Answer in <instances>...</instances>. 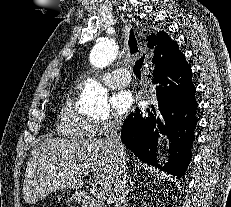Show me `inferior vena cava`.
Segmentation results:
<instances>
[{
    "label": "inferior vena cava",
    "instance_id": "obj_1",
    "mask_svg": "<svg viewBox=\"0 0 231 207\" xmlns=\"http://www.w3.org/2000/svg\"><path fill=\"white\" fill-rule=\"evenodd\" d=\"M122 121L114 116L107 122L106 127V144L112 148L114 154L119 158L120 165L117 170L114 186L113 199L116 207H127L128 199V176H127V156L125 147L121 141Z\"/></svg>",
    "mask_w": 231,
    "mask_h": 207
}]
</instances>
